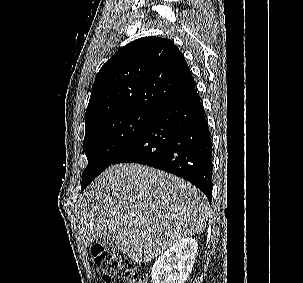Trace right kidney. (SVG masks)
Segmentation results:
<instances>
[{
    "instance_id": "obj_1",
    "label": "right kidney",
    "mask_w": 303,
    "mask_h": 283,
    "mask_svg": "<svg viewBox=\"0 0 303 283\" xmlns=\"http://www.w3.org/2000/svg\"><path fill=\"white\" fill-rule=\"evenodd\" d=\"M197 241L182 238L170 246L152 267L153 283H184L195 262Z\"/></svg>"
}]
</instances>
